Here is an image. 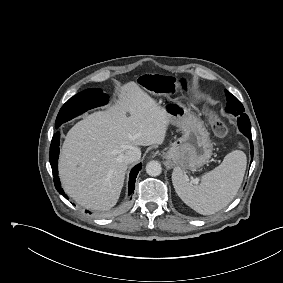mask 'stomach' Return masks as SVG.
Listing matches in <instances>:
<instances>
[{
  "instance_id": "1",
  "label": "stomach",
  "mask_w": 283,
  "mask_h": 283,
  "mask_svg": "<svg viewBox=\"0 0 283 283\" xmlns=\"http://www.w3.org/2000/svg\"><path fill=\"white\" fill-rule=\"evenodd\" d=\"M163 108L170 124L182 132L167 151L166 159L182 169L194 170L206 164L212 156V144L203 122L180 102L172 101Z\"/></svg>"
}]
</instances>
